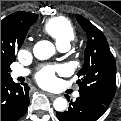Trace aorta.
Listing matches in <instances>:
<instances>
[{
    "instance_id": "obj_1",
    "label": "aorta",
    "mask_w": 121,
    "mask_h": 121,
    "mask_svg": "<svg viewBox=\"0 0 121 121\" xmlns=\"http://www.w3.org/2000/svg\"><path fill=\"white\" fill-rule=\"evenodd\" d=\"M33 53L37 59L46 60L55 54V47L50 41L42 40L34 45ZM53 105L56 111L62 112L67 108L68 102L65 98L58 97Z\"/></svg>"
}]
</instances>
